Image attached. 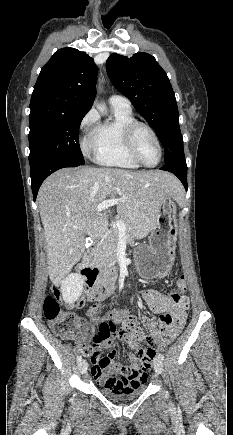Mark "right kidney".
Returning <instances> with one entry per match:
<instances>
[{"mask_svg": "<svg viewBox=\"0 0 233 435\" xmlns=\"http://www.w3.org/2000/svg\"><path fill=\"white\" fill-rule=\"evenodd\" d=\"M61 295L65 303L73 304L81 296L83 280L77 273L69 274L61 283Z\"/></svg>", "mask_w": 233, "mask_h": 435, "instance_id": "obj_1", "label": "right kidney"}]
</instances>
